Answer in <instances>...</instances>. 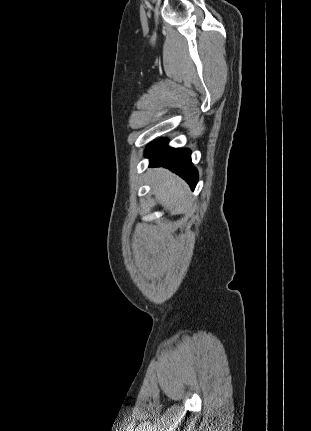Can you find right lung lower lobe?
Here are the masks:
<instances>
[{
	"mask_svg": "<svg viewBox=\"0 0 311 431\" xmlns=\"http://www.w3.org/2000/svg\"><path fill=\"white\" fill-rule=\"evenodd\" d=\"M146 157L150 166H163L180 175L194 190L198 182V172L191 162L189 149H174L167 146L166 139H159L147 146Z\"/></svg>",
	"mask_w": 311,
	"mask_h": 431,
	"instance_id": "obj_1",
	"label": "right lung lower lobe"
}]
</instances>
